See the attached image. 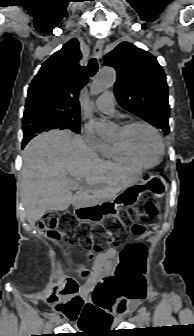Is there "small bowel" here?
I'll return each mask as SVG.
<instances>
[{
  "label": "small bowel",
  "mask_w": 194,
  "mask_h": 336,
  "mask_svg": "<svg viewBox=\"0 0 194 336\" xmlns=\"http://www.w3.org/2000/svg\"><path fill=\"white\" fill-rule=\"evenodd\" d=\"M121 251L112 247L97 255L93 261L92 274L80 287L79 293L84 297L85 308L78 319V326L83 329L88 323L108 322L114 318L113 309L121 289L114 283L115 269L120 261ZM144 266L140 270L143 273ZM142 289V283L137 281Z\"/></svg>",
  "instance_id": "1"
}]
</instances>
